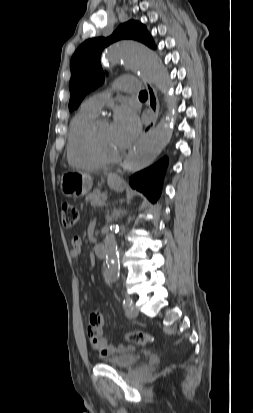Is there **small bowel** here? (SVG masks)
Here are the masks:
<instances>
[{"label":"small bowel","mask_w":253,"mask_h":413,"mask_svg":"<svg viewBox=\"0 0 253 413\" xmlns=\"http://www.w3.org/2000/svg\"><path fill=\"white\" fill-rule=\"evenodd\" d=\"M81 254V244L78 238L73 240L71 255L78 257ZM103 319L97 313H92L88 319L86 329L88 342L91 347L99 352L100 355L106 356L115 352L116 347L110 345L107 339L102 335Z\"/></svg>","instance_id":"c3829d8e"}]
</instances>
